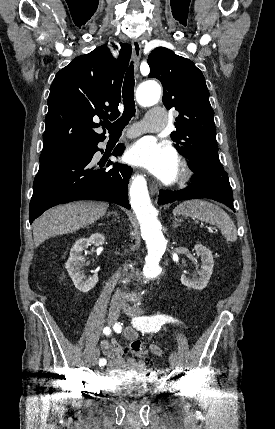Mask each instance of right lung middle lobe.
Segmentation results:
<instances>
[{
  "instance_id": "right-lung-middle-lobe-1",
  "label": "right lung middle lobe",
  "mask_w": 275,
  "mask_h": 429,
  "mask_svg": "<svg viewBox=\"0 0 275 429\" xmlns=\"http://www.w3.org/2000/svg\"><path fill=\"white\" fill-rule=\"evenodd\" d=\"M93 144H95V143H93ZM93 144H87V145H83V146L71 149V150H69V151H67V152H65V153H63L61 155H58V156H54V157H50V158H39V160L42 163V162L53 160V159H57V158H60V157L69 156V155H72V154H75V153H78V152H81V151H87L88 149L91 148V146Z\"/></svg>"
}]
</instances>
